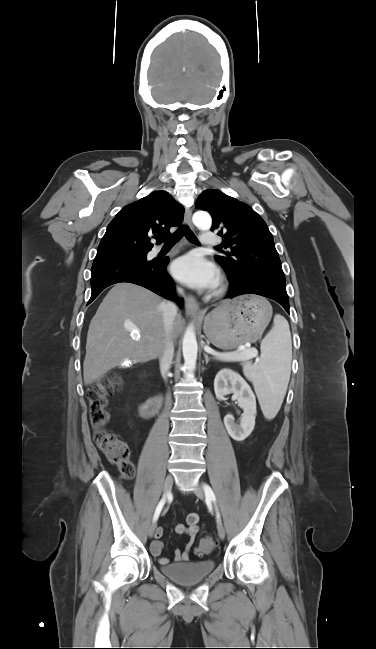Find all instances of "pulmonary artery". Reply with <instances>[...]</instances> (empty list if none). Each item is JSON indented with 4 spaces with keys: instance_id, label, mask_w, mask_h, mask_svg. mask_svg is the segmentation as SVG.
<instances>
[{
    "instance_id": "1",
    "label": "pulmonary artery",
    "mask_w": 376,
    "mask_h": 649,
    "mask_svg": "<svg viewBox=\"0 0 376 649\" xmlns=\"http://www.w3.org/2000/svg\"><path fill=\"white\" fill-rule=\"evenodd\" d=\"M200 243L204 247L215 246L219 243V238L210 232H204L201 236Z\"/></svg>"
}]
</instances>
